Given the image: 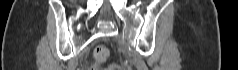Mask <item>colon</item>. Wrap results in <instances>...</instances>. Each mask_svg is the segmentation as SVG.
Listing matches in <instances>:
<instances>
[{
	"instance_id": "obj_1",
	"label": "colon",
	"mask_w": 238,
	"mask_h": 70,
	"mask_svg": "<svg viewBox=\"0 0 238 70\" xmlns=\"http://www.w3.org/2000/svg\"><path fill=\"white\" fill-rule=\"evenodd\" d=\"M108 57L109 50L107 47L100 45L94 49V58L97 66L102 65ZM114 68H118V63H108V67H105V70H114Z\"/></svg>"
}]
</instances>
